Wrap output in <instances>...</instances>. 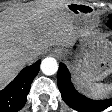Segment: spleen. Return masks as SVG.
I'll return each instance as SVG.
<instances>
[{
	"label": "spleen",
	"instance_id": "obj_1",
	"mask_svg": "<svg viewBox=\"0 0 112 112\" xmlns=\"http://www.w3.org/2000/svg\"><path fill=\"white\" fill-rule=\"evenodd\" d=\"M84 86L83 82H80ZM112 92V84L96 83L90 86V96L93 98H104Z\"/></svg>",
	"mask_w": 112,
	"mask_h": 112
}]
</instances>
